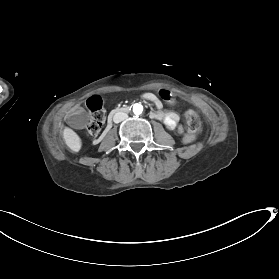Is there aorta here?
I'll list each match as a JSON object with an SVG mask.
<instances>
[{"label":"aorta","instance_id":"762f6f07","mask_svg":"<svg viewBox=\"0 0 279 279\" xmlns=\"http://www.w3.org/2000/svg\"><path fill=\"white\" fill-rule=\"evenodd\" d=\"M142 111H143V106L141 104H138V103L134 104V106H133L134 114L140 115L142 113Z\"/></svg>","mask_w":279,"mask_h":279}]
</instances>
